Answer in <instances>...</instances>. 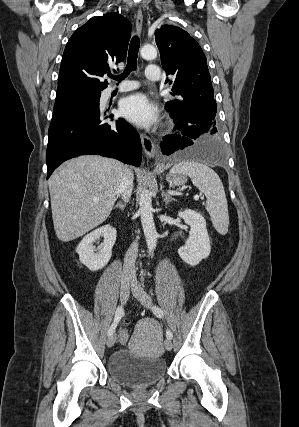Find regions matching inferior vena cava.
<instances>
[{"label":"inferior vena cava","mask_w":299,"mask_h":427,"mask_svg":"<svg viewBox=\"0 0 299 427\" xmlns=\"http://www.w3.org/2000/svg\"><path fill=\"white\" fill-rule=\"evenodd\" d=\"M133 189V174L126 168L123 180L119 186L118 192L121 194L123 200L126 202L129 201ZM138 252V243L137 241L133 242L129 247L123 265V274L124 275H134L135 274V261Z\"/></svg>","instance_id":"602c4592"}]
</instances>
